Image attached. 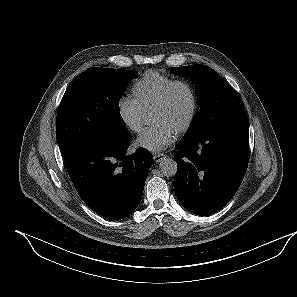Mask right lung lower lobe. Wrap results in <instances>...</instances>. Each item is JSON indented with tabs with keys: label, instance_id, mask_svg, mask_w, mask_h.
Here are the masks:
<instances>
[{
	"label": "right lung lower lobe",
	"instance_id": "98d812e1",
	"mask_svg": "<svg viewBox=\"0 0 297 297\" xmlns=\"http://www.w3.org/2000/svg\"><path fill=\"white\" fill-rule=\"evenodd\" d=\"M130 141L131 136L124 141L96 143L65 162L79 196L108 219H123L137 208L153 164L146 149L127 155Z\"/></svg>",
	"mask_w": 297,
	"mask_h": 297
}]
</instances>
